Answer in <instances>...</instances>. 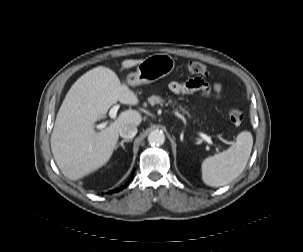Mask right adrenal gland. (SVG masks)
I'll use <instances>...</instances> for the list:
<instances>
[{"instance_id": "right-adrenal-gland-1", "label": "right adrenal gland", "mask_w": 303, "mask_h": 252, "mask_svg": "<svg viewBox=\"0 0 303 252\" xmlns=\"http://www.w3.org/2000/svg\"><path fill=\"white\" fill-rule=\"evenodd\" d=\"M131 141H132V139H124V140H122L119 144L116 145L115 149H117L119 146H121L122 149H125L124 143H125V142H131Z\"/></svg>"}]
</instances>
